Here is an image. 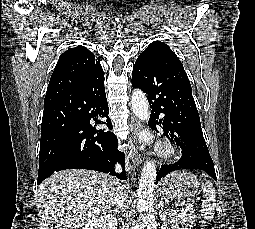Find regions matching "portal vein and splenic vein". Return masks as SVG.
Returning a JSON list of instances; mask_svg holds the SVG:
<instances>
[{"label":"portal vein and splenic vein","instance_id":"obj_1","mask_svg":"<svg viewBox=\"0 0 255 229\" xmlns=\"http://www.w3.org/2000/svg\"><path fill=\"white\" fill-rule=\"evenodd\" d=\"M190 209H191V205L187 206L185 210H190ZM170 213H171V215H174V214H177V211L172 209V210H170Z\"/></svg>","mask_w":255,"mask_h":229}]
</instances>
